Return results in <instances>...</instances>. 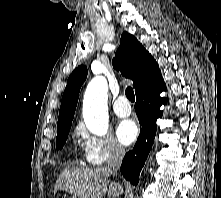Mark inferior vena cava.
Segmentation results:
<instances>
[{
  "instance_id": "1",
  "label": "inferior vena cava",
  "mask_w": 221,
  "mask_h": 198,
  "mask_svg": "<svg viewBox=\"0 0 221 198\" xmlns=\"http://www.w3.org/2000/svg\"><path fill=\"white\" fill-rule=\"evenodd\" d=\"M124 154L125 150L121 146H114L111 149L107 162L103 167L104 170L109 172L110 174L117 175Z\"/></svg>"
}]
</instances>
